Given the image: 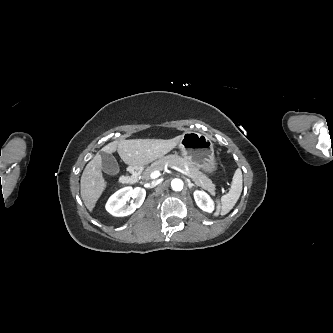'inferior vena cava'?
Instances as JSON below:
<instances>
[{"mask_svg": "<svg viewBox=\"0 0 333 333\" xmlns=\"http://www.w3.org/2000/svg\"><path fill=\"white\" fill-rule=\"evenodd\" d=\"M157 185V182H152L149 187H155Z\"/></svg>", "mask_w": 333, "mask_h": 333, "instance_id": "inferior-vena-cava-1", "label": "inferior vena cava"}]
</instances>
